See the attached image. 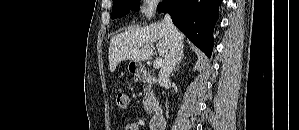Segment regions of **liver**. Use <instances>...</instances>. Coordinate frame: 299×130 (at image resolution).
Here are the masks:
<instances>
[{
    "instance_id": "1",
    "label": "liver",
    "mask_w": 299,
    "mask_h": 130,
    "mask_svg": "<svg viewBox=\"0 0 299 130\" xmlns=\"http://www.w3.org/2000/svg\"><path fill=\"white\" fill-rule=\"evenodd\" d=\"M181 39L184 34L181 32ZM156 43L160 56L169 54L171 41L165 23H154L146 27L130 28L112 37L109 47V67L114 72L123 60L142 62L153 56L152 45Z\"/></svg>"
}]
</instances>
